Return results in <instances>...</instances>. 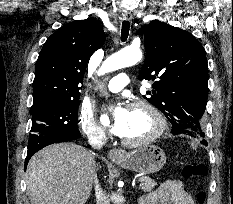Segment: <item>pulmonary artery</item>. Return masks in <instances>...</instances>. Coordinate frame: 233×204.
<instances>
[{
  "label": "pulmonary artery",
  "instance_id": "1",
  "mask_svg": "<svg viewBox=\"0 0 233 204\" xmlns=\"http://www.w3.org/2000/svg\"><path fill=\"white\" fill-rule=\"evenodd\" d=\"M129 82L130 79L128 75L125 73H120L111 78V80L107 84V89L110 92L116 93L121 91L124 87H126L129 84Z\"/></svg>",
  "mask_w": 233,
  "mask_h": 204
}]
</instances>
